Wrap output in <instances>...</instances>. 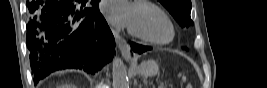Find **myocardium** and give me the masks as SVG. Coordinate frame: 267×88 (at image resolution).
I'll list each match as a JSON object with an SVG mask.
<instances>
[{"instance_id":"obj_1","label":"myocardium","mask_w":267,"mask_h":88,"mask_svg":"<svg viewBox=\"0 0 267 88\" xmlns=\"http://www.w3.org/2000/svg\"><path fill=\"white\" fill-rule=\"evenodd\" d=\"M134 7H146V8H149V9L157 12L161 17H163L168 22L170 29H171V35L169 38H167L165 40H155V39H151L149 37H146V36L138 33L137 31H135L131 27H129L128 32L130 35H132L133 37H135V38H137L143 42H146V43L152 44V45H167V44L174 41V39L176 37V29H175L174 23L163 10H161L156 5H154L150 2H147V1H136L134 3Z\"/></svg>"}]
</instances>
